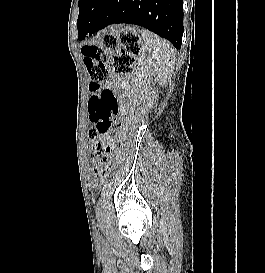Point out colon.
I'll return each instance as SVG.
<instances>
[{
  "label": "colon",
  "instance_id": "colon-1",
  "mask_svg": "<svg viewBox=\"0 0 265 273\" xmlns=\"http://www.w3.org/2000/svg\"><path fill=\"white\" fill-rule=\"evenodd\" d=\"M84 63L91 82L92 97L88 105L89 121L93 125L91 147H95V172L105 178L113 170L110 156L113 148L111 132L112 119L118 113V105L112 91L103 90L101 84L108 78V68L104 62L113 54V69L124 74L133 70L135 58L140 53L139 37L133 33H108L103 36L101 45L83 47Z\"/></svg>",
  "mask_w": 265,
  "mask_h": 273
}]
</instances>
